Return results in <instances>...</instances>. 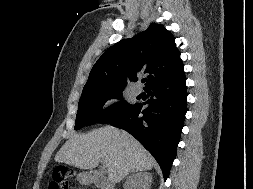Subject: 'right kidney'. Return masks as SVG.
Segmentation results:
<instances>
[{"instance_id": "1", "label": "right kidney", "mask_w": 253, "mask_h": 189, "mask_svg": "<svg viewBox=\"0 0 253 189\" xmlns=\"http://www.w3.org/2000/svg\"><path fill=\"white\" fill-rule=\"evenodd\" d=\"M152 175L147 172L133 174L126 181V189H150Z\"/></svg>"}]
</instances>
